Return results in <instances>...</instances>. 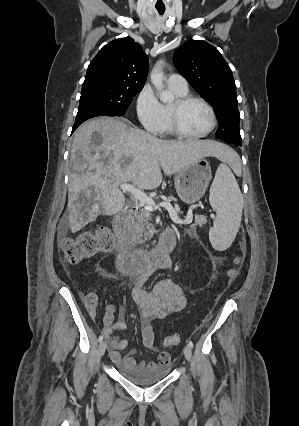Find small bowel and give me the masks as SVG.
I'll use <instances>...</instances> for the list:
<instances>
[{"label":"small bowel","instance_id":"c3829d8e","mask_svg":"<svg viewBox=\"0 0 299 426\" xmlns=\"http://www.w3.org/2000/svg\"><path fill=\"white\" fill-rule=\"evenodd\" d=\"M173 260L171 256H163L154 261L150 266L141 270L134 277V286L132 288V298L139 309L142 319V343L149 350L157 351L154 345L155 331L152 321L162 319L167 315L182 310L187 303V297L183 286L170 280H160L155 284L151 291H147L145 286L150 276L159 269L172 267ZM115 331L125 333L127 326L122 319L115 320V307L112 304L107 306L103 317L102 333L110 346V358L119 368L134 369L139 367L168 366L170 364V355L166 352L159 354L157 362L141 361L135 358L136 349H132L124 357L120 351L128 346V339H118L113 335Z\"/></svg>","mask_w":299,"mask_h":426}]
</instances>
